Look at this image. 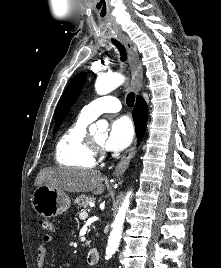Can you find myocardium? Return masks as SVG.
Returning <instances> with one entry per match:
<instances>
[{
  "label": "myocardium",
  "mask_w": 221,
  "mask_h": 268,
  "mask_svg": "<svg viewBox=\"0 0 221 268\" xmlns=\"http://www.w3.org/2000/svg\"><path fill=\"white\" fill-rule=\"evenodd\" d=\"M88 141H89V145H90L91 151L94 154V156L96 158L102 156V154H103L102 145L99 144V143H97L94 140V138L91 135H89V134H88Z\"/></svg>",
  "instance_id": "obj_1"
}]
</instances>
